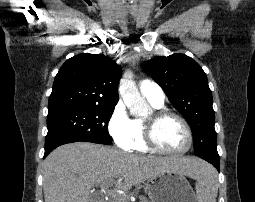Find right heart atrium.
<instances>
[{"mask_svg":"<svg viewBox=\"0 0 255 202\" xmlns=\"http://www.w3.org/2000/svg\"><path fill=\"white\" fill-rule=\"evenodd\" d=\"M107 129L116 146L125 150L131 149L133 141L132 120L122 103H118L114 107L107 123Z\"/></svg>","mask_w":255,"mask_h":202,"instance_id":"right-heart-atrium-1","label":"right heart atrium"}]
</instances>
